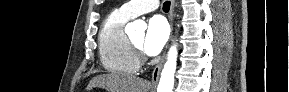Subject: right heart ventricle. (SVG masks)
Segmentation results:
<instances>
[{
  "mask_svg": "<svg viewBox=\"0 0 289 92\" xmlns=\"http://www.w3.org/2000/svg\"><path fill=\"white\" fill-rule=\"evenodd\" d=\"M128 19L119 10H115L102 23L98 37L99 56L102 66L108 72L134 74L139 69V61L124 31Z\"/></svg>",
  "mask_w": 289,
  "mask_h": 92,
  "instance_id": "1",
  "label": "right heart ventricle"
}]
</instances>
